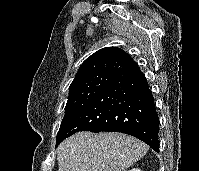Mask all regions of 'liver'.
Returning a JSON list of instances; mask_svg holds the SVG:
<instances>
[{
	"mask_svg": "<svg viewBox=\"0 0 199 171\" xmlns=\"http://www.w3.org/2000/svg\"><path fill=\"white\" fill-rule=\"evenodd\" d=\"M126 134L79 132L57 148L58 171H126L148 151Z\"/></svg>",
	"mask_w": 199,
	"mask_h": 171,
	"instance_id": "1",
	"label": "liver"
}]
</instances>
